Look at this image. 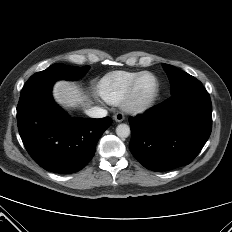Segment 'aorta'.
<instances>
[{"mask_svg": "<svg viewBox=\"0 0 232 232\" xmlns=\"http://www.w3.org/2000/svg\"><path fill=\"white\" fill-rule=\"evenodd\" d=\"M130 127L127 124H119L116 127V134L120 138H127L130 135Z\"/></svg>", "mask_w": 232, "mask_h": 232, "instance_id": "aorta-1", "label": "aorta"}]
</instances>
